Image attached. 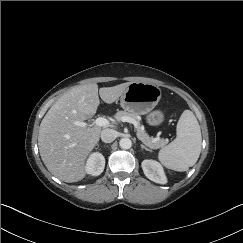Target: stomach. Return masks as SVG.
Instances as JSON below:
<instances>
[{"label":"stomach","instance_id":"0dacf381","mask_svg":"<svg viewBox=\"0 0 243 243\" xmlns=\"http://www.w3.org/2000/svg\"><path fill=\"white\" fill-rule=\"evenodd\" d=\"M162 96L161 89L151 83L131 82L120 97L121 107L131 113L146 115L151 126H160L165 119L161 110H154Z\"/></svg>","mask_w":243,"mask_h":243}]
</instances>
